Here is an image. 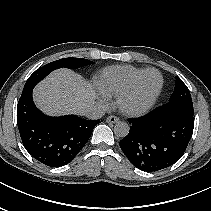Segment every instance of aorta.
Instances as JSON below:
<instances>
[{
    "label": "aorta",
    "mask_w": 211,
    "mask_h": 211,
    "mask_svg": "<svg viewBox=\"0 0 211 211\" xmlns=\"http://www.w3.org/2000/svg\"><path fill=\"white\" fill-rule=\"evenodd\" d=\"M114 133L116 136L124 138L129 133V126L126 122H118L114 126Z\"/></svg>",
    "instance_id": "aorta-1"
}]
</instances>
